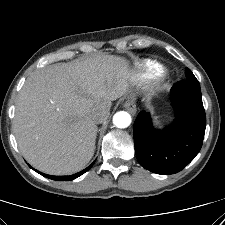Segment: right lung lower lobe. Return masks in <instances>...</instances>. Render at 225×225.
<instances>
[{"instance_id":"1","label":"right lung lower lobe","mask_w":225,"mask_h":225,"mask_svg":"<svg viewBox=\"0 0 225 225\" xmlns=\"http://www.w3.org/2000/svg\"><path fill=\"white\" fill-rule=\"evenodd\" d=\"M94 162L89 165L86 169L74 174V175H71V176H51V175H47V174H44V173H41L37 170H35L36 172H38L39 174L43 175L44 177H47L49 179H52V180H56V181H71V180H74L76 179L77 177L81 176L82 174H84L86 171H88L92 166H93ZM32 168V167H31Z\"/></svg>"}]
</instances>
